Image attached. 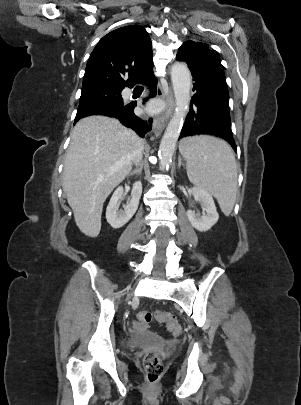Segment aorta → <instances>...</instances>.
Listing matches in <instances>:
<instances>
[{"mask_svg":"<svg viewBox=\"0 0 301 405\" xmlns=\"http://www.w3.org/2000/svg\"><path fill=\"white\" fill-rule=\"evenodd\" d=\"M171 80L176 100V108L162 137L158 156L160 169L169 167L175 151L190 101L191 73L185 63H174L171 68Z\"/></svg>","mask_w":301,"mask_h":405,"instance_id":"aorta-1","label":"aorta"}]
</instances>
